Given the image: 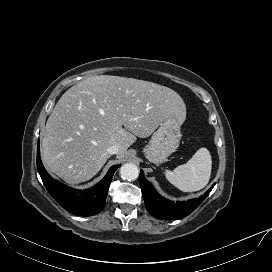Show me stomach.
<instances>
[{
	"label": "stomach",
	"instance_id": "0dacf381",
	"mask_svg": "<svg viewBox=\"0 0 272 272\" xmlns=\"http://www.w3.org/2000/svg\"><path fill=\"white\" fill-rule=\"evenodd\" d=\"M180 139L181 123L176 117L170 116L160 123L152 135L145 149L146 158L157 165L165 162L178 148Z\"/></svg>",
	"mask_w": 272,
	"mask_h": 272
}]
</instances>
